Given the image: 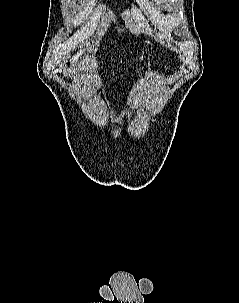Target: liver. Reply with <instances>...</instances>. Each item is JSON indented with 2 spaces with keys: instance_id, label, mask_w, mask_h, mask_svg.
<instances>
[{
  "instance_id": "1",
  "label": "liver",
  "mask_w": 239,
  "mask_h": 303,
  "mask_svg": "<svg viewBox=\"0 0 239 303\" xmlns=\"http://www.w3.org/2000/svg\"><path fill=\"white\" fill-rule=\"evenodd\" d=\"M85 50H86V49H81L76 55H74V56L71 58L70 63H71V66H72V68H73V71H76L77 65H78V62H79V59H81V56H82V54L85 53ZM85 60H86V61H89V60H90V58H89L88 55L85 56Z\"/></svg>"
}]
</instances>
